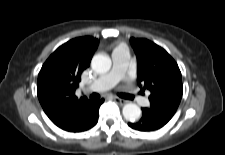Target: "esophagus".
Returning a JSON list of instances; mask_svg holds the SVG:
<instances>
[{"label": "esophagus", "mask_w": 225, "mask_h": 155, "mask_svg": "<svg viewBox=\"0 0 225 155\" xmlns=\"http://www.w3.org/2000/svg\"><path fill=\"white\" fill-rule=\"evenodd\" d=\"M113 99H114L115 102H117V103L120 104V105L126 104V100L121 99V98H119V97H114Z\"/></svg>", "instance_id": "esophagus-1"}]
</instances>
